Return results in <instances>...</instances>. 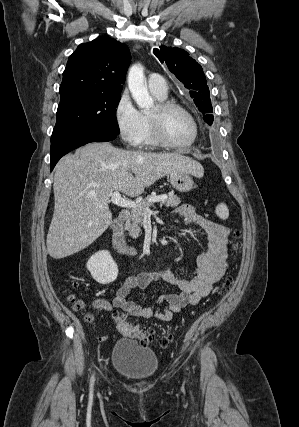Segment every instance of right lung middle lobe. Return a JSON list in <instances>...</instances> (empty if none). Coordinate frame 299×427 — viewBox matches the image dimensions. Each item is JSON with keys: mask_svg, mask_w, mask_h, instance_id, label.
<instances>
[{"mask_svg": "<svg viewBox=\"0 0 299 427\" xmlns=\"http://www.w3.org/2000/svg\"><path fill=\"white\" fill-rule=\"evenodd\" d=\"M120 94L79 93L60 100L51 141L73 133L119 134Z\"/></svg>", "mask_w": 299, "mask_h": 427, "instance_id": "obj_1", "label": "right lung middle lobe"}]
</instances>
